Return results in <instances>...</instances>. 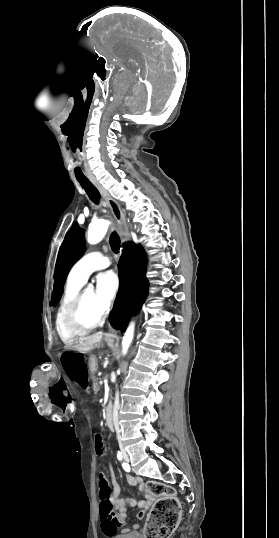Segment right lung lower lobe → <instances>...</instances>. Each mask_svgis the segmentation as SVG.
<instances>
[{"label":"right lung lower lobe","instance_id":"obj_1","mask_svg":"<svg viewBox=\"0 0 279 538\" xmlns=\"http://www.w3.org/2000/svg\"><path fill=\"white\" fill-rule=\"evenodd\" d=\"M146 254L143 248L126 246L118 263L120 289L110 314L112 326L125 330L130 315L138 311L148 293Z\"/></svg>","mask_w":279,"mask_h":538}]
</instances>
